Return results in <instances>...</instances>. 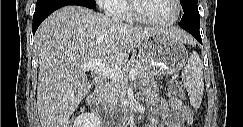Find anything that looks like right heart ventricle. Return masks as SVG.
I'll return each mask as SVG.
<instances>
[{"label":"right heart ventricle","instance_id":"1","mask_svg":"<svg viewBox=\"0 0 243 127\" xmlns=\"http://www.w3.org/2000/svg\"><path fill=\"white\" fill-rule=\"evenodd\" d=\"M116 4L118 10V18L123 21H134V17L130 12V0H118Z\"/></svg>","mask_w":243,"mask_h":127}]
</instances>
